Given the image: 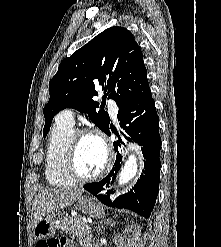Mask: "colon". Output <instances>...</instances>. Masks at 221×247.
Wrapping results in <instances>:
<instances>
[{
    "label": "colon",
    "mask_w": 221,
    "mask_h": 247,
    "mask_svg": "<svg viewBox=\"0 0 221 247\" xmlns=\"http://www.w3.org/2000/svg\"><path fill=\"white\" fill-rule=\"evenodd\" d=\"M65 243L66 239L64 237H54L38 243L37 247H63Z\"/></svg>",
    "instance_id": "colon-1"
}]
</instances>
